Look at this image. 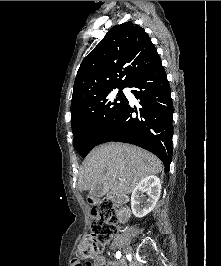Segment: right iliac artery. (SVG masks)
I'll use <instances>...</instances> for the list:
<instances>
[{
  "label": "right iliac artery",
  "mask_w": 221,
  "mask_h": 266,
  "mask_svg": "<svg viewBox=\"0 0 221 266\" xmlns=\"http://www.w3.org/2000/svg\"><path fill=\"white\" fill-rule=\"evenodd\" d=\"M116 258H117V259H120V258H121V252H120V251H117V253H116Z\"/></svg>",
  "instance_id": "obj_1"
}]
</instances>
